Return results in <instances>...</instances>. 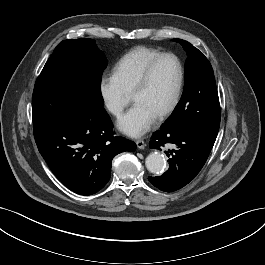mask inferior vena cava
Returning a JSON list of instances; mask_svg holds the SVG:
<instances>
[{"mask_svg":"<svg viewBox=\"0 0 265 265\" xmlns=\"http://www.w3.org/2000/svg\"><path fill=\"white\" fill-rule=\"evenodd\" d=\"M109 110H110L111 112H113V113H117V112L120 111V108L117 107V106H110V107H109Z\"/></svg>","mask_w":265,"mask_h":265,"instance_id":"obj_1","label":"inferior vena cava"}]
</instances>
